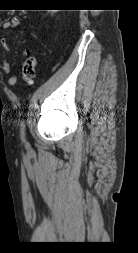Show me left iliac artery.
<instances>
[{
    "label": "left iliac artery",
    "mask_w": 138,
    "mask_h": 253,
    "mask_svg": "<svg viewBox=\"0 0 138 253\" xmlns=\"http://www.w3.org/2000/svg\"><path fill=\"white\" fill-rule=\"evenodd\" d=\"M20 133H21V139L23 142H26V139H25V124H24V121L21 122L20 124Z\"/></svg>",
    "instance_id": "1"
}]
</instances>
